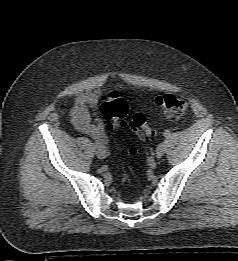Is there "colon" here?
<instances>
[{"label":"colon","instance_id":"1","mask_svg":"<svg viewBox=\"0 0 238 261\" xmlns=\"http://www.w3.org/2000/svg\"><path fill=\"white\" fill-rule=\"evenodd\" d=\"M154 103L167 117L173 120L182 118L187 110V102L172 94L159 95L154 99ZM101 111L108 120L106 129L109 132L125 126L124 118L128 113V105L117 92L109 93L103 97ZM129 124L132 131L141 139H150L155 135L154 129L149 126L146 117L141 112L134 113ZM136 152L135 148H130L129 155L133 157Z\"/></svg>","mask_w":238,"mask_h":261}]
</instances>
